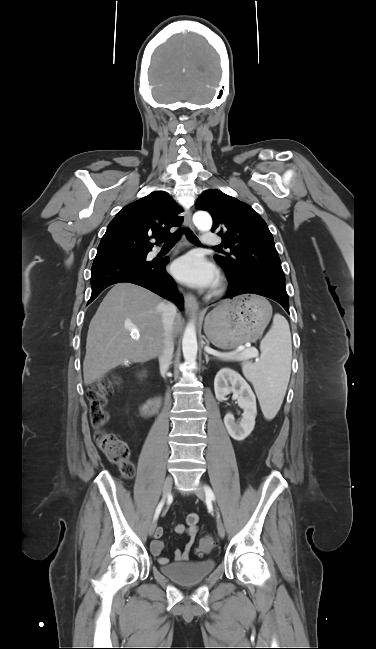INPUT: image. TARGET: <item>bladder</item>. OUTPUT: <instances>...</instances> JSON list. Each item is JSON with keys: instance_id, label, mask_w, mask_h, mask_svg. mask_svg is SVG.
Segmentation results:
<instances>
[{"instance_id": "bladder-1", "label": "bladder", "mask_w": 376, "mask_h": 649, "mask_svg": "<svg viewBox=\"0 0 376 649\" xmlns=\"http://www.w3.org/2000/svg\"><path fill=\"white\" fill-rule=\"evenodd\" d=\"M215 568V561L204 559L162 565L160 571L172 581L182 585H193L203 581Z\"/></svg>"}]
</instances>
